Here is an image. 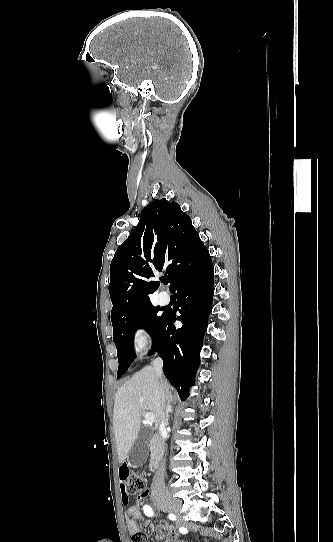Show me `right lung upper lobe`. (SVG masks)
I'll list each match as a JSON object with an SVG mask.
<instances>
[{"instance_id": "right-lung-upper-lobe-1", "label": "right lung upper lobe", "mask_w": 333, "mask_h": 542, "mask_svg": "<svg viewBox=\"0 0 333 542\" xmlns=\"http://www.w3.org/2000/svg\"><path fill=\"white\" fill-rule=\"evenodd\" d=\"M198 240L190 217L176 202L156 199L146 206L110 265L111 320L151 303L149 295L159 286L148 281L153 271L165 270L171 286L177 252Z\"/></svg>"}]
</instances>
